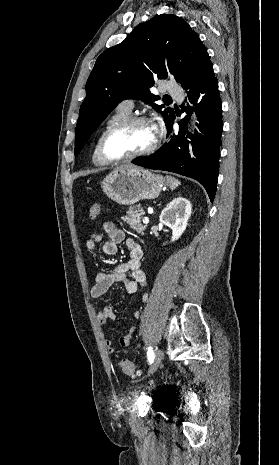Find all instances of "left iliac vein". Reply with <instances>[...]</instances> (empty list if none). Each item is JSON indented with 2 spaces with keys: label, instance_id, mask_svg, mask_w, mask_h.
<instances>
[{
  "label": "left iliac vein",
  "instance_id": "obj_1",
  "mask_svg": "<svg viewBox=\"0 0 279 465\" xmlns=\"http://www.w3.org/2000/svg\"><path fill=\"white\" fill-rule=\"evenodd\" d=\"M162 357H163V353H162L161 349L157 348L155 350L154 362H153V365H152L151 370H150L151 374L154 373L158 369V367H159V365H160V363L162 361Z\"/></svg>",
  "mask_w": 279,
  "mask_h": 465
}]
</instances>
